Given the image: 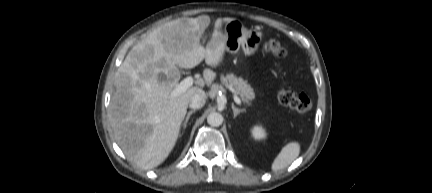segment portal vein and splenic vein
<instances>
[{
    "instance_id": "1",
    "label": "portal vein and splenic vein",
    "mask_w": 432,
    "mask_h": 193,
    "mask_svg": "<svg viewBox=\"0 0 432 193\" xmlns=\"http://www.w3.org/2000/svg\"><path fill=\"white\" fill-rule=\"evenodd\" d=\"M193 83H194V79H193V77L188 76V77H186L184 80H182L180 83H178V84L176 85V87H175L174 90L171 92V94H172L173 96H177V95H179V94L185 92L188 88H190V87L193 85ZM233 99H234V101H235L238 105L241 104V100H240V98H239L236 94L233 95Z\"/></svg>"
}]
</instances>
